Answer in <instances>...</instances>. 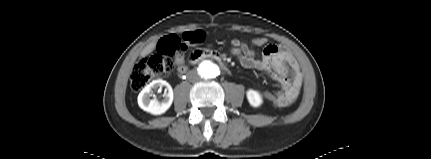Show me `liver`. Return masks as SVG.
<instances>
[{"mask_svg":"<svg viewBox=\"0 0 431 159\" xmlns=\"http://www.w3.org/2000/svg\"><path fill=\"white\" fill-rule=\"evenodd\" d=\"M155 47H156V42H152V43L148 44V45H147V46L142 50L140 57H141V58H144L145 56H147L148 54H150L151 52H153V51H154V49H155Z\"/></svg>","mask_w":431,"mask_h":159,"instance_id":"1","label":"liver"}]
</instances>
